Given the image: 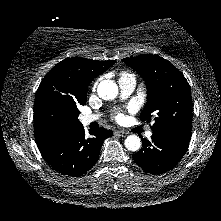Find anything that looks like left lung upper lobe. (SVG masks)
<instances>
[{"instance_id":"left-lung-upper-lobe-1","label":"left lung upper lobe","mask_w":221,"mask_h":221,"mask_svg":"<svg viewBox=\"0 0 221 221\" xmlns=\"http://www.w3.org/2000/svg\"><path fill=\"white\" fill-rule=\"evenodd\" d=\"M122 61L135 69L146 83L148 100L141 120L149 123L153 118V133L189 142L193 103L183 74L156 55H140Z\"/></svg>"}]
</instances>
